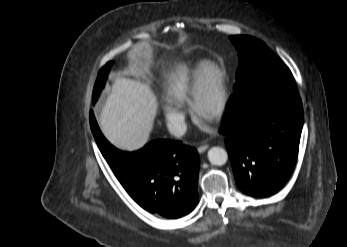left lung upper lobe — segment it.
Listing matches in <instances>:
<instances>
[{
    "label": "left lung upper lobe",
    "instance_id": "5c2ea615",
    "mask_svg": "<svg viewBox=\"0 0 347 247\" xmlns=\"http://www.w3.org/2000/svg\"><path fill=\"white\" fill-rule=\"evenodd\" d=\"M230 40L235 45L239 57L234 92L241 90L255 74L269 67L283 64L264 42L252 36H230Z\"/></svg>",
    "mask_w": 347,
    "mask_h": 247
}]
</instances>
